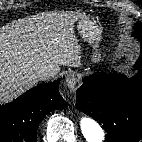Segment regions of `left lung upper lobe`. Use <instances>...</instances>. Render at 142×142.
<instances>
[{
    "instance_id": "5c2ea615",
    "label": "left lung upper lobe",
    "mask_w": 142,
    "mask_h": 142,
    "mask_svg": "<svg viewBox=\"0 0 142 142\" xmlns=\"http://www.w3.org/2000/svg\"><path fill=\"white\" fill-rule=\"evenodd\" d=\"M135 37L141 41V48H142V23L137 22L135 26Z\"/></svg>"
}]
</instances>
